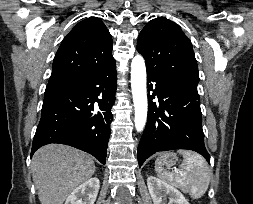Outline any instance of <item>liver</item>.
Masks as SVG:
<instances>
[{
  "instance_id": "6515ba94",
  "label": "liver",
  "mask_w": 253,
  "mask_h": 204,
  "mask_svg": "<svg viewBox=\"0 0 253 204\" xmlns=\"http://www.w3.org/2000/svg\"><path fill=\"white\" fill-rule=\"evenodd\" d=\"M41 204H63L70 193L92 177L93 158L73 147L49 144L38 149L31 163Z\"/></svg>"
}]
</instances>
